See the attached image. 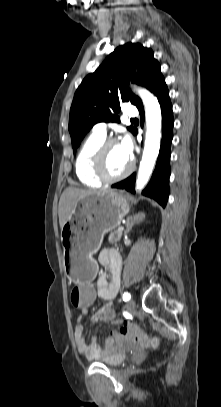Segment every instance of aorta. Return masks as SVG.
I'll return each instance as SVG.
<instances>
[{"instance_id":"aorta-1","label":"aorta","mask_w":221,"mask_h":407,"mask_svg":"<svg viewBox=\"0 0 221 407\" xmlns=\"http://www.w3.org/2000/svg\"><path fill=\"white\" fill-rule=\"evenodd\" d=\"M143 101L146 117L145 146L140 162L136 190H142L148 183L160 150L161 139V108L157 98L146 89H138Z\"/></svg>"}]
</instances>
